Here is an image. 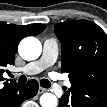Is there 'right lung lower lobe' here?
I'll return each instance as SVG.
<instances>
[{"label": "right lung lower lobe", "instance_id": "98d812e1", "mask_svg": "<svg viewBox=\"0 0 107 107\" xmlns=\"http://www.w3.org/2000/svg\"><path fill=\"white\" fill-rule=\"evenodd\" d=\"M38 83L35 80L28 81L25 85H20L15 81L4 85L0 89L1 107H20L21 103L38 92Z\"/></svg>", "mask_w": 107, "mask_h": 107}]
</instances>
